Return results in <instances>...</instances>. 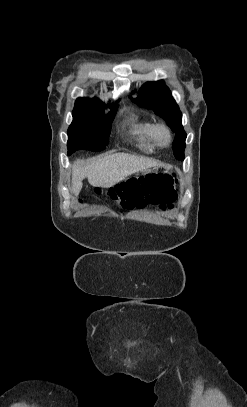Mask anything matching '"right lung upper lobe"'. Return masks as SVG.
<instances>
[{
  "label": "right lung upper lobe",
  "mask_w": 247,
  "mask_h": 407,
  "mask_svg": "<svg viewBox=\"0 0 247 407\" xmlns=\"http://www.w3.org/2000/svg\"><path fill=\"white\" fill-rule=\"evenodd\" d=\"M97 104H103V103L97 98H93V99L78 98L75 102V107L92 106V105H97Z\"/></svg>",
  "instance_id": "right-lung-upper-lobe-1"
}]
</instances>
